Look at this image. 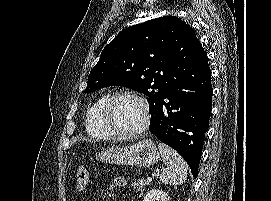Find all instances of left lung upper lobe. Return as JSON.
<instances>
[{
    "label": "left lung upper lobe",
    "mask_w": 271,
    "mask_h": 201,
    "mask_svg": "<svg viewBox=\"0 0 271 201\" xmlns=\"http://www.w3.org/2000/svg\"><path fill=\"white\" fill-rule=\"evenodd\" d=\"M184 27L191 29L177 17L164 16L124 29L103 49L83 92L116 85L139 91L149 97L150 124H153Z\"/></svg>",
    "instance_id": "left-lung-upper-lobe-1"
}]
</instances>
